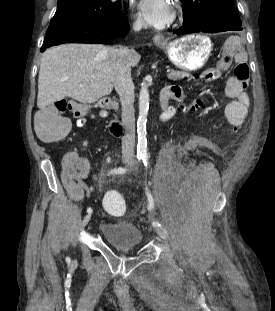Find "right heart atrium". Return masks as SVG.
Returning <instances> with one entry per match:
<instances>
[{"mask_svg": "<svg viewBox=\"0 0 275 311\" xmlns=\"http://www.w3.org/2000/svg\"><path fill=\"white\" fill-rule=\"evenodd\" d=\"M142 25V21L139 17L133 16V26L136 28H140Z\"/></svg>", "mask_w": 275, "mask_h": 311, "instance_id": "d8ad5b80", "label": "right heart atrium"}]
</instances>
